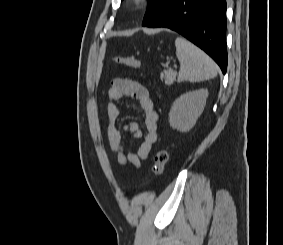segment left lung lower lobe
I'll use <instances>...</instances> for the list:
<instances>
[{
  "label": "left lung lower lobe",
  "mask_w": 283,
  "mask_h": 245,
  "mask_svg": "<svg viewBox=\"0 0 283 245\" xmlns=\"http://www.w3.org/2000/svg\"><path fill=\"white\" fill-rule=\"evenodd\" d=\"M147 27L174 30L227 69L226 0H173Z\"/></svg>",
  "instance_id": "1"
}]
</instances>
